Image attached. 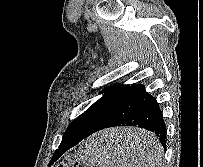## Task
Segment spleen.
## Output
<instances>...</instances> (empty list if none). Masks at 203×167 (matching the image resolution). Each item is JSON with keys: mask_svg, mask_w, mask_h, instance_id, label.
Instances as JSON below:
<instances>
[{"mask_svg": "<svg viewBox=\"0 0 203 167\" xmlns=\"http://www.w3.org/2000/svg\"><path fill=\"white\" fill-rule=\"evenodd\" d=\"M143 149L139 151V167H163V148L153 134H144L140 141ZM113 141L101 134L90 137L80 148L81 156L96 167H124L125 162L117 160L112 153Z\"/></svg>", "mask_w": 203, "mask_h": 167, "instance_id": "1", "label": "spleen"}]
</instances>
